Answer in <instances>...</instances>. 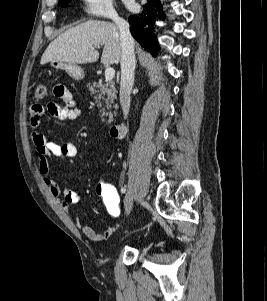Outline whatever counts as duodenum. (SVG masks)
Segmentation results:
<instances>
[{"label":"duodenum","mask_w":267,"mask_h":301,"mask_svg":"<svg viewBox=\"0 0 267 301\" xmlns=\"http://www.w3.org/2000/svg\"><path fill=\"white\" fill-rule=\"evenodd\" d=\"M125 130V125L124 123H118V124H115L113 125L111 128H110V135L113 137V138H119L122 136L123 132Z\"/></svg>","instance_id":"410a0bca"}]
</instances>
